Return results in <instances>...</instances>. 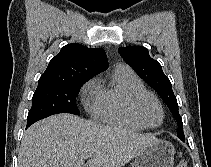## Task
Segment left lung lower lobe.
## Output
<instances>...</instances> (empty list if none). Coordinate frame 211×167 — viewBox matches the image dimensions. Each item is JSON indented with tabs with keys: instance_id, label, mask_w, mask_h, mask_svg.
Listing matches in <instances>:
<instances>
[{
	"instance_id": "0a47b994",
	"label": "left lung lower lobe",
	"mask_w": 211,
	"mask_h": 167,
	"mask_svg": "<svg viewBox=\"0 0 211 167\" xmlns=\"http://www.w3.org/2000/svg\"><path fill=\"white\" fill-rule=\"evenodd\" d=\"M182 141H184L185 140V138H180Z\"/></svg>"
}]
</instances>
